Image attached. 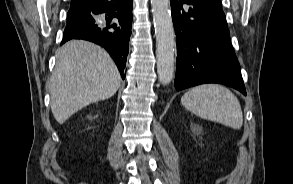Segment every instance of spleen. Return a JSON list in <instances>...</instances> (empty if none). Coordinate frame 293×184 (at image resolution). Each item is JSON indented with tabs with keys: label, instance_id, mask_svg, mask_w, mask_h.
Masks as SVG:
<instances>
[{
	"label": "spleen",
	"instance_id": "obj_1",
	"mask_svg": "<svg viewBox=\"0 0 293 184\" xmlns=\"http://www.w3.org/2000/svg\"><path fill=\"white\" fill-rule=\"evenodd\" d=\"M181 104L202 119L240 129L243 113L238 98L219 84L193 87L181 98Z\"/></svg>",
	"mask_w": 293,
	"mask_h": 184
}]
</instances>
